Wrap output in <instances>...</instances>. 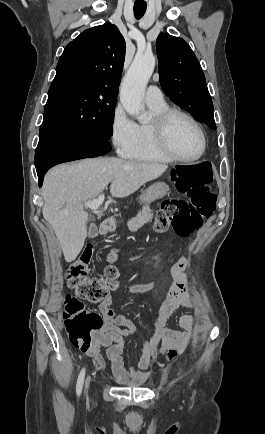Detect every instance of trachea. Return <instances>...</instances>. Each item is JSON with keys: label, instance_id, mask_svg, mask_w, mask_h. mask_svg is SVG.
I'll use <instances>...</instances> for the list:
<instances>
[{"label": "trachea", "instance_id": "1", "mask_svg": "<svg viewBox=\"0 0 265 434\" xmlns=\"http://www.w3.org/2000/svg\"><path fill=\"white\" fill-rule=\"evenodd\" d=\"M146 3H134V15L135 18H137L138 20L143 17L144 13L146 12Z\"/></svg>", "mask_w": 265, "mask_h": 434}]
</instances>
